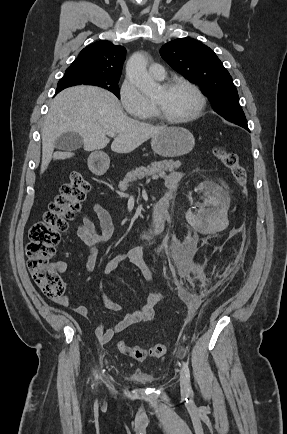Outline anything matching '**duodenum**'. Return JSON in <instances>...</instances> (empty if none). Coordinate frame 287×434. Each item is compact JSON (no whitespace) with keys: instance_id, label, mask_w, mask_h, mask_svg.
<instances>
[{"instance_id":"duodenum-1","label":"duodenum","mask_w":287,"mask_h":434,"mask_svg":"<svg viewBox=\"0 0 287 434\" xmlns=\"http://www.w3.org/2000/svg\"><path fill=\"white\" fill-rule=\"evenodd\" d=\"M109 164L107 158L102 156H95L92 158V165L97 172L102 171ZM164 205L162 203H158L153 210L152 218L146 229L142 230L138 234V238L142 241L150 240L154 235H156L158 231V227L160 223L164 219Z\"/></svg>"}]
</instances>
